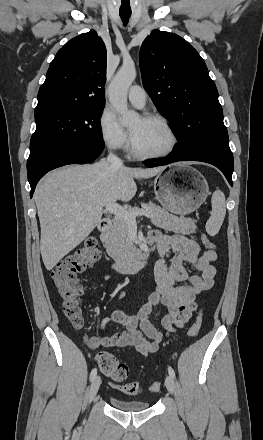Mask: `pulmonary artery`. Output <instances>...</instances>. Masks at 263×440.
Instances as JSON below:
<instances>
[{"instance_id":"e3ab8cb5","label":"pulmonary artery","mask_w":263,"mask_h":440,"mask_svg":"<svg viewBox=\"0 0 263 440\" xmlns=\"http://www.w3.org/2000/svg\"><path fill=\"white\" fill-rule=\"evenodd\" d=\"M128 99L134 106L142 108L146 103L147 94L143 88L134 85L128 91Z\"/></svg>"}]
</instances>
